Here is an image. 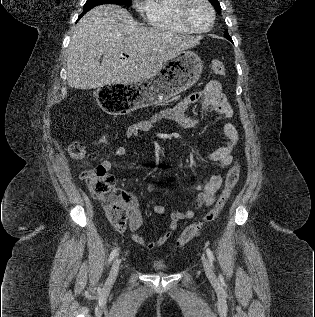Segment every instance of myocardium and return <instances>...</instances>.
Returning a JSON list of instances; mask_svg holds the SVG:
<instances>
[{
	"instance_id": "myocardium-1",
	"label": "myocardium",
	"mask_w": 315,
	"mask_h": 317,
	"mask_svg": "<svg viewBox=\"0 0 315 317\" xmlns=\"http://www.w3.org/2000/svg\"><path fill=\"white\" fill-rule=\"evenodd\" d=\"M195 1L196 0H180V3L178 5V10H177L178 18H179L180 22L191 32H194V33L209 32L213 28L214 23H215V17H216L215 10H214V8L209 0H199L207 6V8L210 12L211 19H210V24L208 27L203 28V29L195 28L190 23V21L188 19V9H189L190 5Z\"/></svg>"
}]
</instances>
